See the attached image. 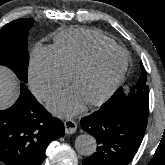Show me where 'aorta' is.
I'll return each mask as SVG.
<instances>
[{"label": "aorta", "instance_id": "obj_1", "mask_svg": "<svg viewBox=\"0 0 165 165\" xmlns=\"http://www.w3.org/2000/svg\"><path fill=\"white\" fill-rule=\"evenodd\" d=\"M97 141L89 134L79 135L75 140L76 151L83 156H90L96 151Z\"/></svg>", "mask_w": 165, "mask_h": 165}]
</instances>
